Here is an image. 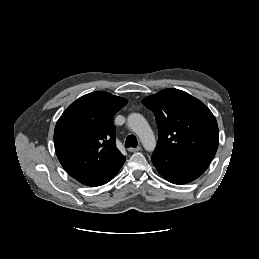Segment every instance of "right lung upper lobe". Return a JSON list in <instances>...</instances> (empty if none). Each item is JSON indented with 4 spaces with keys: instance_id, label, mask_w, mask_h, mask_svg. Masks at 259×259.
Instances as JSON below:
<instances>
[{
    "instance_id": "right-lung-upper-lobe-1",
    "label": "right lung upper lobe",
    "mask_w": 259,
    "mask_h": 259,
    "mask_svg": "<svg viewBox=\"0 0 259 259\" xmlns=\"http://www.w3.org/2000/svg\"><path fill=\"white\" fill-rule=\"evenodd\" d=\"M127 100L103 91L78 98L54 130L57 157L75 179L100 175L125 159L116 147L114 115Z\"/></svg>"
}]
</instances>
